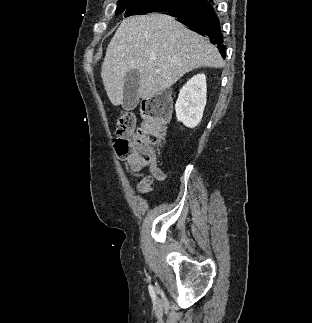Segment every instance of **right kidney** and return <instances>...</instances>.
I'll return each mask as SVG.
<instances>
[{"instance_id":"1","label":"right kidney","mask_w":312,"mask_h":323,"mask_svg":"<svg viewBox=\"0 0 312 323\" xmlns=\"http://www.w3.org/2000/svg\"><path fill=\"white\" fill-rule=\"evenodd\" d=\"M206 76L196 74L181 88L175 104L176 118L186 128H195L202 120L206 106Z\"/></svg>"}]
</instances>
